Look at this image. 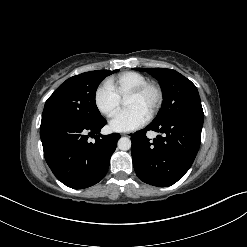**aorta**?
<instances>
[{
	"instance_id": "1",
	"label": "aorta",
	"mask_w": 247,
	"mask_h": 247,
	"mask_svg": "<svg viewBox=\"0 0 247 247\" xmlns=\"http://www.w3.org/2000/svg\"><path fill=\"white\" fill-rule=\"evenodd\" d=\"M118 148L123 151L129 150L131 148V140L127 137H121L118 141Z\"/></svg>"
}]
</instances>
